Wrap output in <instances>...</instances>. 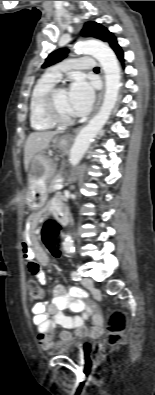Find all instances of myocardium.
Returning <instances> with one entry per match:
<instances>
[{
	"label": "myocardium",
	"mask_w": 155,
	"mask_h": 395,
	"mask_svg": "<svg viewBox=\"0 0 155 395\" xmlns=\"http://www.w3.org/2000/svg\"><path fill=\"white\" fill-rule=\"evenodd\" d=\"M61 85H54L43 96L41 100L42 114L47 121L57 126H68L74 122L73 118H64L56 109L55 98L59 91L63 90Z\"/></svg>",
	"instance_id": "f54148a6"
}]
</instances>
